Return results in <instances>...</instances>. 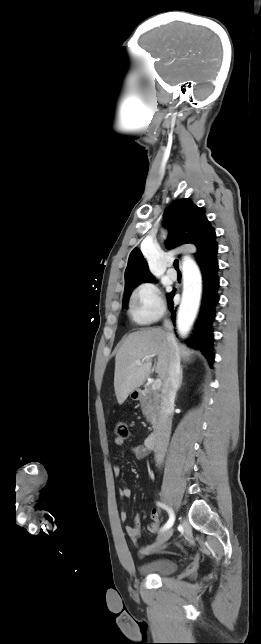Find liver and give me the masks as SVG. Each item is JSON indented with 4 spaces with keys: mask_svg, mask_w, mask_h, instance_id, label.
<instances>
[{
    "mask_svg": "<svg viewBox=\"0 0 261 644\" xmlns=\"http://www.w3.org/2000/svg\"><path fill=\"white\" fill-rule=\"evenodd\" d=\"M176 343L179 355L186 361L192 353L184 345ZM174 351L172 343L167 338V332L159 328L143 329L130 334L115 357L114 389L118 404H123L128 395L144 384L150 374L151 358L157 356L155 371L165 381L171 354ZM145 360L136 365V360Z\"/></svg>",
    "mask_w": 261,
    "mask_h": 644,
    "instance_id": "liver-1",
    "label": "liver"
}]
</instances>
